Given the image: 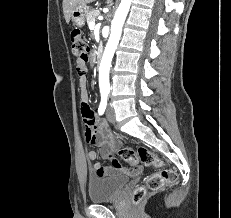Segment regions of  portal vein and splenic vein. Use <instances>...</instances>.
I'll use <instances>...</instances> for the list:
<instances>
[{"label": "portal vein and splenic vein", "mask_w": 231, "mask_h": 218, "mask_svg": "<svg viewBox=\"0 0 231 218\" xmlns=\"http://www.w3.org/2000/svg\"><path fill=\"white\" fill-rule=\"evenodd\" d=\"M95 27V21H92L89 23V28H94Z\"/></svg>", "instance_id": "18ae733b"}]
</instances>
